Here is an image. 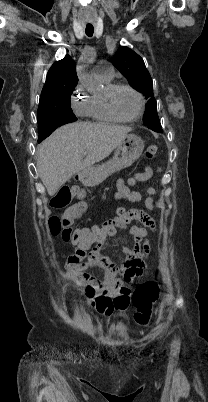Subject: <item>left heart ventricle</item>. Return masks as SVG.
<instances>
[{
  "label": "left heart ventricle",
  "instance_id": "b2bd125f",
  "mask_svg": "<svg viewBox=\"0 0 208 402\" xmlns=\"http://www.w3.org/2000/svg\"><path fill=\"white\" fill-rule=\"evenodd\" d=\"M117 112L126 118L137 115L140 108L139 98L128 89H120L114 98Z\"/></svg>",
  "mask_w": 208,
  "mask_h": 402
}]
</instances>
